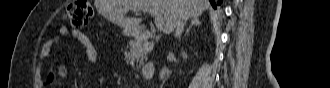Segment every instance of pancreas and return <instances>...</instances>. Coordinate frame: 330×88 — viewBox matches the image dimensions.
<instances>
[{"label":"pancreas","mask_w":330,"mask_h":88,"mask_svg":"<svg viewBox=\"0 0 330 88\" xmlns=\"http://www.w3.org/2000/svg\"><path fill=\"white\" fill-rule=\"evenodd\" d=\"M153 43H145L140 49H137L134 51V53L131 55V58H143L149 49H151Z\"/></svg>","instance_id":"cf45deb5"}]
</instances>
